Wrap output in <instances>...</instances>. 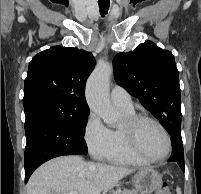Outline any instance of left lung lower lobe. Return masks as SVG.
Segmentation results:
<instances>
[{"mask_svg": "<svg viewBox=\"0 0 201 194\" xmlns=\"http://www.w3.org/2000/svg\"><path fill=\"white\" fill-rule=\"evenodd\" d=\"M172 141V154L169 162H176L179 164L181 169L184 170V152H183V142L181 137V130L173 129L170 132Z\"/></svg>", "mask_w": 201, "mask_h": 194, "instance_id": "obj_1", "label": "left lung lower lobe"}]
</instances>
